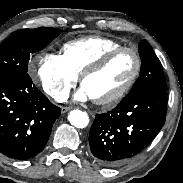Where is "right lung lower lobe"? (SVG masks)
Masks as SVG:
<instances>
[{
  "label": "right lung lower lobe",
  "mask_w": 183,
  "mask_h": 183,
  "mask_svg": "<svg viewBox=\"0 0 183 183\" xmlns=\"http://www.w3.org/2000/svg\"><path fill=\"white\" fill-rule=\"evenodd\" d=\"M61 109L33 84L27 73L0 76V152L26 160L41 152Z\"/></svg>",
  "instance_id": "98d812e1"
}]
</instances>
